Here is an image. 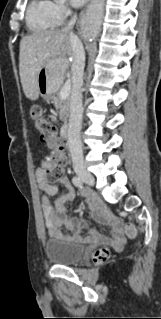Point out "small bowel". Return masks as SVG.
Returning <instances> with one entry per match:
<instances>
[{
	"label": "small bowel",
	"instance_id": "c3829d8e",
	"mask_svg": "<svg viewBox=\"0 0 161 319\" xmlns=\"http://www.w3.org/2000/svg\"><path fill=\"white\" fill-rule=\"evenodd\" d=\"M48 163V157L42 156L38 160V171H37V183L40 190L43 192L41 197V207L44 215L45 225L51 236L62 237L60 228L65 227L69 231H79L85 227V222L73 221L68 214L65 207V202L72 201L75 198L76 191L74 187L66 178L57 179L65 189L64 194L57 197L55 205L53 206L50 202L49 196L56 195L58 193V187L55 182H51L46 173L45 167ZM85 200L90 206V214L92 217L98 218L100 221L107 223L110 231L112 232L111 239L119 241L121 239V223L118 219L113 217L105 216V207L103 201L99 197H85ZM72 240L81 241L82 239L78 236L72 237ZM86 241H101L98 235V231L95 228H90L89 235L85 239Z\"/></svg>",
	"mask_w": 161,
	"mask_h": 319
}]
</instances>
